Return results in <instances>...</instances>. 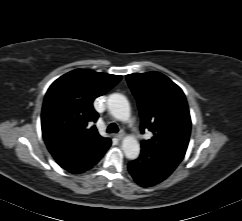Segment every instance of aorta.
I'll list each match as a JSON object with an SVG mask.
<instances>
[{
    "instance_id": "1",
    "label": "aorta",
    "mask_w": 242,
    "mask_h": 221,
    "mask_svg": "<svg viewBox=\"0 0 242 221\" xmlns=\"http://www.w3.org/2000/svg\"><path fill=\"white\" fill-rule=\"evenodd\" d=\"M110 113L120 121H126L130 117V105L122 94H111L107 100ZM122 150L126 158L136 159L140 154V144L134 136H126L122 141Z\"/></svg>"
}]
</instances>
